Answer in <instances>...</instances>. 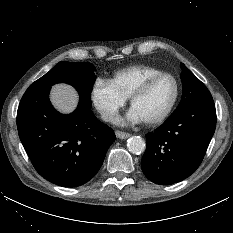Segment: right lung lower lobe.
I'll return each mask as SVG.
<instances>
[{
  "mask_svg": "<svg viewBox=\"0 0 233 233\" xmlns=\"http://www.w3.org/2000/svg\"><path fill=\"white\" fill-rule=\"evenodd\" d=\"M50 88L26 90L17 111L18 134L42 177L59 186L77 187L98 172L116 137L82 100L71 114L57 112L49 101Z\"/></svg>",
  "mask_w": 233,
  "mask_h": 233,
  "instance_id": "obj_1",
  "label": "right lung lower lobe"
}]
</instances>
